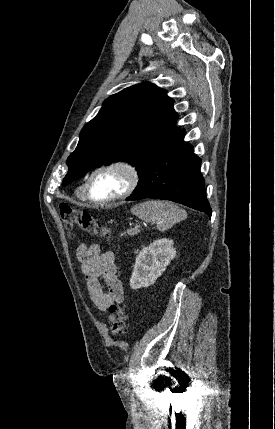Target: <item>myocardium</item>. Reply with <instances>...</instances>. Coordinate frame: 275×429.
<instances>
[{
  "label": "myocardium",
  "instance_id": "f54148a6",
  "mask_svg": "<svg viewBox=\"0 0 275 429\" xmlns=\"http://www.w3.org/2000/svg\"><path fill=\"white\" fill-rule=\"evenodd\" d=\"M108 170L121 171L126 178L125 187L120 193L114 195L113 197L103 199V200L95 199L92 197L91 190H90L92 180L98 173L103 171H108ZM138 182H139V173L136 167L132 163L122 159L111 160L99 165L90 173V175L88 176L85 182L84 196L87 200H89L94 204L108 205L130 196L136 189Z\"/></svg>",
  "mask_w": 275,
  "mask_h": 429
}]
</instances>
